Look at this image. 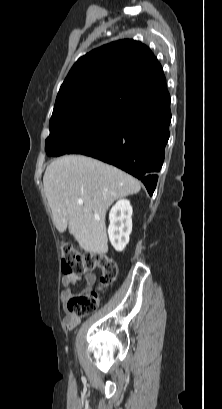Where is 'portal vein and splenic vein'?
<instances>
[{"mask_svg": "<svg viewBox=\"0 0 222 409\" xmlns=\"http://www.w3.org/2000/svg\"><path fill=\"white\" fill-rule=\"evenodd\" d=\"M77 203H78L79 205H82V204H83V199H82V198L78 199Z\"/></svg>", "mask_w": 222, "mask_h": 409, "instance_id": "obj_1", "label": "portal vein and splenic vein"}]
</instances>
